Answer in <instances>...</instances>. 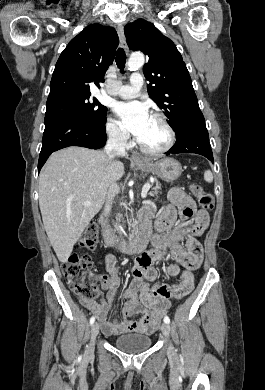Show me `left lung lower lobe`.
<instances>
[{"mask_svg":"<svg viewBox=\"0 0 265 390\" xmlns=\"http://www.w3.org/2000/svg\"><path fill=\"white\" fill-rule=\"evenodd\" d=\"M196 153L205 156L214 163L213 153L209 142V134L202 113L196 114L176 136V143L166 153Z\"/></svg>","mask_w":265,"mask_h":390,"instance_id":"1","label":"left lung lower lobe"}]
</instances>
